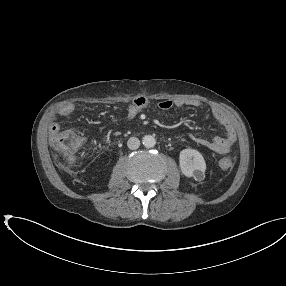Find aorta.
<instances>
[{"label":"aorta","instance_id":"1","mask_svg":"<svg viewBox=\"0 0 286 286\" xmlns=\"http://www.w3.org/2000/svg\"><path fill=\"white\" fill-rule=\"evenodd\" d=\"M142 143L146 148H152L156 144V140L152 135H145L142 139Z\"/></svg>","mask_w":286,"mask_h":286}]
</instances>
